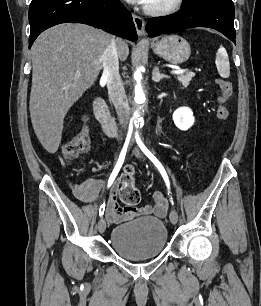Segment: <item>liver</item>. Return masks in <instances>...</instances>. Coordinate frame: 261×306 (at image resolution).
<instances>
[{
    "label": "liver",
    "instance_id": "liver-1",
    "mask_svg": "<svg viewBox=\"0 0 261 306\" xmlns=\"http://www.w3.org/2000/svg\"><path fill=\"white\" fill-rule=\"evenodd\" d=\"M111 41V35L102 30L65 23L47 29L34 42L29 110L34 132L47 152L58 150L64 118L96 81ZM116 47L125 61L127 43L118 39Z\"/></svg>",
    "mask_w": 261,
    "mask_h": 306
}]
</instances>
